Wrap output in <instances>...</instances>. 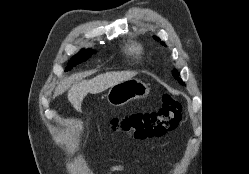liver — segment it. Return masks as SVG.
Listing matches in <instances>:
<instances>
[{
  "label": "liver",
  "instance_id": "6515ba94",
  "mask_svg": "<svg viewBox=\"0 0 249 174\" xmlns=\"http://www.w3.org/2000/svg\"><path fill=\"white\" fill-rule=\"evenodd\" d=\"M136 75L133 71L107 72L100 74L90 80H84L68 91L69 102L76 110H79L81 103L88 93L97 94L105 91L115 84L131 79Z\"/></svg>",
  "mask_w": 249,
  "mask_h": 174
}]
</instances>
